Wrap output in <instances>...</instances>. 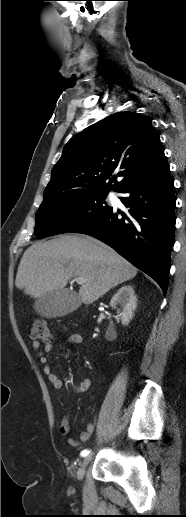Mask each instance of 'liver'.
<instances>
[{"label":"liver","mask_w":186,"mask_h":517,"mask_svg":"<svg viewBox=\"0 0 186 517\" xmlns=\"http://www.w3.org/2000/svg\"><path fill=\"white\" fill-rule=\"evenodd\" d=\"M137 268L110 246L83 235H64L32 244L20 261L15 285L40 298L64 290L73 277L86 282L79 289L80 300L91 304L111 288L136 276Z\"/></svg>","instance_id":"1"}]
</instances>
